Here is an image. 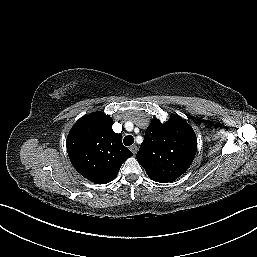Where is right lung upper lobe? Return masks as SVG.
<instances>
[{"label": "right lung upper lobe", "instance_id": "1", "mask_svg": "<svg viewBox=\"0 0 257 257\" xmlns=\"http://www.w3.org/2000/svg\"><path fill=\"white\" fill-rule=\"evenodd\" d=\"M67 152L74 168L97 184H106L118 174L133 154L122 144V135L112 130V120L102 112L85 115L67 137Z\"/></svg>", "mask_w": 257, "mask_h": 257}]
</instances>
